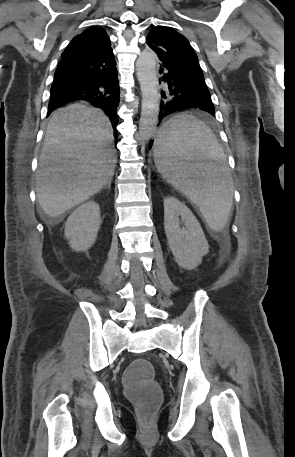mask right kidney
<instances>
[{"label": "right kidney", "mask_w": 295, "mask_h": 457, "mask_svg": "<svg viewBox=\"0 0 295 457\" xmlns=\"http://www.w3.org/2000/svg\"><path fill=\"white\" fill-rule=\"evenodd\" d=\"M100 207L89 201L78 208L65 223V237L74 251L88 250L95 242L100 228Z\"/></svg>", "instance_id": "ca27d5eb"}]
</instances>
